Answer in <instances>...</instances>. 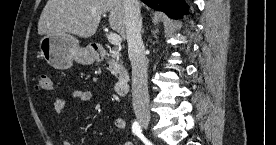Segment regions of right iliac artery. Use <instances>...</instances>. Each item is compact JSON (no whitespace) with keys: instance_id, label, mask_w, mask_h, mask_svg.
<instances>
[{"instance_id":"82829eb1","label":"right iliac artery","mask_w":276,"mask_h":145,"mask_svg":"<svg viewBox=\"0 0 276 145\" xmlns=\"http://www.w3.org/2000/svg\"><path fill=\"white\" fill-rule=\"evenodd\" d=\"M141 126L139 125V123L137 121H134L132 124V132L134 135H141Z\"/></svg>"}]
</instances>
